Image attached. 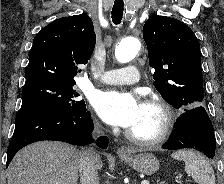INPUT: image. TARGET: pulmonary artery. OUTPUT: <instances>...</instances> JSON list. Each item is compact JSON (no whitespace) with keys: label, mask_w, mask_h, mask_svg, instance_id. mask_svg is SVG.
Here are the masks:
<instances>
[{"label":"pulmonary artery","mask_w":224,"mask_h":184,"mask_svg":"<svg viewBox=\"0 0 224 184\" xmlns=\"http://www.w3.org/2000/svg\"><path fill=\"white\" fill-rule=\"evenodd\" d=\"M100 80L107 84H134L139 80V71L132 65L122 69L108 70Z\"/></svg>","instance_id":"e3ab8cb5"}]
</instances>
